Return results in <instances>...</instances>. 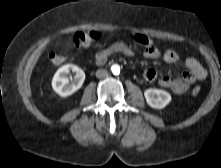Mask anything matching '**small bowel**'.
Instances as JSON below:
<instances>
[{"mask_svg":"<svg viewBox=\"0 0 221 168\" xmlns=\"http://www.w3.org/2000/svg\"><path fill=\"white\" fill-rule=\"evenodd\" d=\"M115 54L131 57L135 54V52L126 43L117 41L110 46L98 51L94 56V60L97 64L102 65L110 56ZM144 56L152 59L162 57L164 61L168 63L177 62L179 59V56L175 50L167 49L164 52H161L154 46L146 48L144 51ZM185 65L188 70L181 78L173 79L168 76H163L158 80L159 85L170 90L176 95H182L194 82L203 80L206 77L207 72L197 59L188 57L185 59ZM142 76L145 81L153 82L157 79L158 75L156 70L149 68L143 72Z\"/></svg>","mask_w":221,"mask_h":168,"instance_id":"1","label":"small bowel"}]
</instances>
